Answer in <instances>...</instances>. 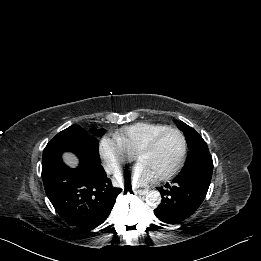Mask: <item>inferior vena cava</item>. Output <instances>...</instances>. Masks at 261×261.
I'll return each mask as SVG.
<instances>
[{
    "instance_id": "inferior-vena-cava-1",
    "label": "inferior vena cava",
    "mask_w": 261,
    "mask_h": 261,
    "mask_svg": "<svg viewBox=\"0 0 261 261\" xmlns=\"http://www.w3.org/2000/svg\"><path fill=\"white\" fill-rule=\"evenodd\" d=\"M105 169H106V172H107V173H112L115 168H114L113 166L108 165V166H106Z\"/></svg>"
}]
</instances>
